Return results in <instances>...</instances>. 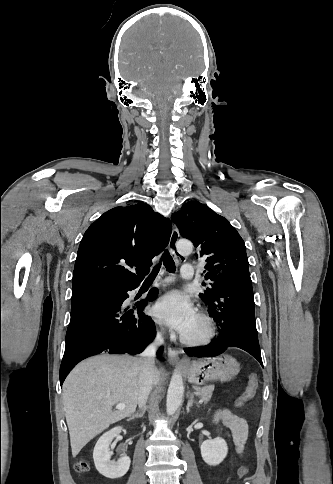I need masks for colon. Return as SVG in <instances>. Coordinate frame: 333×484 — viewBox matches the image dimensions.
<instances>
[{
	"label": "colon",
	"mask_w": 333,
	"mask_h": 484,
	"mask_svg": "<svg viewBox=\"0 0 333 484\" xmlns=\"http://www.w3.org/2000/svg\"><path fill=\"white\" fill-rule=\"evenodd\" d=\"M258 384L259 382H258L257 375L255 373H251L248 377L247 386L244 392L239 396V398L236 401V405L238 407L243 406L246 402H248L255 396L258 389ZM75 468L77 472L84 473L89 470V464L87 461L81 460L76 464ZM247 472H248V468L246 466H241L238 470V477L239 478L244 477L247 474Z\"/></svg>",
	"instance_id": "obj_1"
}]
</instances>
